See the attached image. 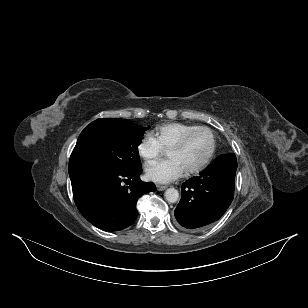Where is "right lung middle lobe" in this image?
Here are the masks:
<instances>
[{"label": "right lung middle lobe", "mask_w": 308, "mask_h": 308, "mask_svg": "<svg viewBox=\"0 0 308 308\" xmlns=\"http://www.w3.org/2000/svg\"><path fill=\"white\" fill-rule=\"evenodd\" d=\"M148 128L127 119H98L90 123L72 151L69 174L86 170L118 173L140 169L138 146Z\"/></svg>", "instance_id": "dd1d6c3e"}]
</instances>
